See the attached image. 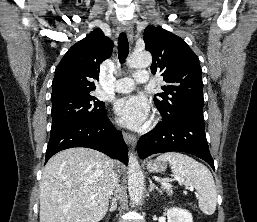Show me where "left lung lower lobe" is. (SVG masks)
Masks as SVG:
<instances>
[{
	"label": "left lung lower lobe",
	"mask_w": 257,
	"mask_h": 222,
	"mask_svg": "<svg viewBox=\"0 0 257 222\" xmlns=\"http://www.w3.org/2000/svg\"><path fill=\"white\" fill-rule=\"evenodd\" d=\"M137 150L142 159L156 153L186 152L203 159L215 170L206 140L204 118L200 116L163 117L152 131L140 137Z\"/></svg>",
	"instance_id": "1"
}]
</instances>
